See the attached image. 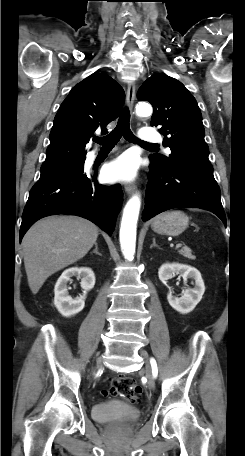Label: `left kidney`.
Masks as SVG:
<instances>
[{
  "label": "left kidney",
  "mask_w": 245,
  "mask_h": 456,
  "mask_svg": "<svg viewBox=\"0 0 245 456\" xmlns=\"http://www.w3.org/2000/svg\"><path fill=\"white\" fill-rule=\"evenodd\" d=\"M175 273L180 274L183 277L184 282H186L188 278L195 281V287L193 289H185L182 297L177 298L173 296L171 291H169L167 295V300L173 309L182 314H187L201 301L205 292V285L201 274L197 269L179 263L163 264L158 271V276L159 279L164 282L172 278V275Z\"/></svg>",
  "instance_id": "obj_1"
}]
</instances>
